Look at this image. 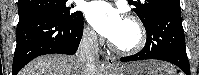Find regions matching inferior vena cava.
I'll return each mask as SVG.
<instances>
[{
  "label": "inferior vena cava",
  "instance_id": "602c4592",
  "mask_svg": "<svg viewBox=\"0 0 199 75\" xmlns=\"http://www.w3.org/2000/svg\"><path fill=\"white\" fill-rule=\"evenodd\" d=\"M77 56L85 64L83 74L95 75V65L99 61V46L97 34L94 31L84 33Z\"/></svg>",
  "mask_w": 199,
  "mask_h": 75
}]
</instances>
